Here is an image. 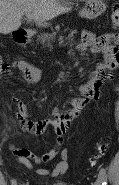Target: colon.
Instances as JSON below:
<instances>
[{"instance_id":"obj_1","label":"colon","mask_w":119,"mask_h":185,"mask_svg":"<svg viewBox=\"0 0 119 185\" xmlns=\"http://www.w3.org/2000/svg\"><path fill=\"white\" fill-rule=\"evenodd\" d=\"M111 23L113 27H117L119 25V5L118 4H115L113 6L112 13H111ZM99 82L100 80H97L95 84L97 85ZM107 146L108 144L106 142H102L97 146L96 154L92 155L89 158V162L91 165H94L96 163V160L103 154Z\"/></svg>"}]
</instances>
